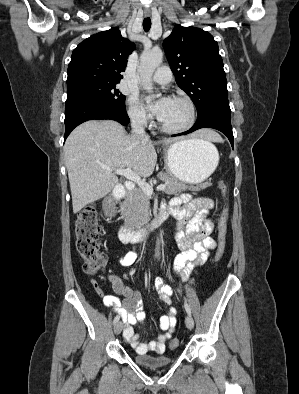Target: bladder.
Masks as SVG:
<instances>
[{"label": "bladder", "mask_w": 299, "mask_h": 394, "mask_svg": "<svg viewBox=\"0 0 299 394\" xmlns=\"http://www.w3.org/2000/svg\"><path fill=\"white\" fill-rule=\"evenodd\" d=\"M135 362L140 367L150 371H155L169 366L173 362V358L166 355L137 354L135 356Z\"/></svg>", "instance_id": "31cf9c89"}]
</instances>
